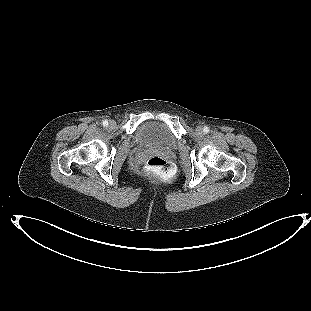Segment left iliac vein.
<instances>
[{
  "instance_id": "4c4485c4",
  "label": "left iliac vein",
  "mask_w": 311,
  "mask_h": 311,
  "mask_svg": "<svg viewBox=\"0 0 311 311\" xmlns=\"http://www.w3.org/2000/svg\"><path fill=\"white\" fill-rule=\"evenodd\" d=\"M196 132H197L198 134H202V133H203V128H202L201 126H197V127H196Z\"/></svg>"
}]
</instances>
